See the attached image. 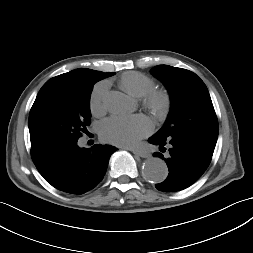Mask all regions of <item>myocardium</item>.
I'll return each mask as SVG.
<instances>
[{
    "instance_id": "1",
    "label": "myocardium",
    "mask_w": 253,
    "mask_h": 253,
    "mask_svg": "<svg viewBox=\"0 0 253 253\" xmlns=\"http://www.w3.org/2000/svg\"><path fill=\"white\" fill-rule=\"evenodd\" d=\"M143 105L156 118L164 119L170 113L172 98L165 89H153L143 97Z\"/></svg>"
}]
</instances>
